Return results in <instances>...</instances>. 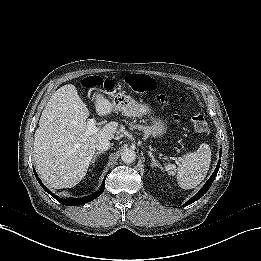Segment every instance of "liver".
<instances>
[{"instance_id":"1","label":"liver","mask_w":261,"mask_h":261,"mask_svg":"<svg viewBox=\"0 0 261 261\" xmlns=\"http://www.w3.org/2000/svg\"><path fill=\"white\" fill-rule=\"evenodd\" d=\"M98 115L114 110L101 94L95 98ZM89 110L74 85L60 87L44 108L34 135V161L40 177L51 187H74L86 175L99 139L111 140L118 123L109 122L95 133L87 132Z\"/></svg>"}]
</instances>
